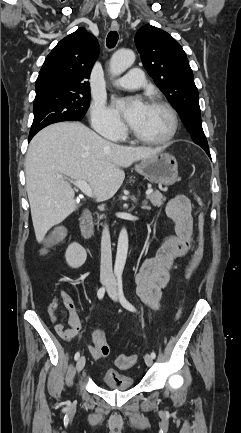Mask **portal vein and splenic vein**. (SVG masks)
Segmentation results:
<instances>
[{"label": "portal vein and splenic vein", "instance_id": "1", "mask_svg": "<svg viewBox=\"0 0 241 433\" xmlns=\"http://www.w3.org/2000/svg\"><path fill=\"white\" fill-rule=\"evenodd\" d=\"M77 188H79L85 195L88 197H92L93 193L90 185L85 180H76L72 182ZM153 193V189H148L146 191V195H150Z\"/></svg>", "mask_w": 241, "mask_h": 433}]
</instances>
